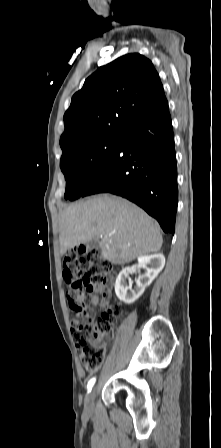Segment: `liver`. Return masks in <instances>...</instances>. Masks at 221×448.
<instances>
[{
    "mask_svg": "<svg viewBox=\"0 0 221 448\" xmlns=\"http://www.w3.org/2000/svg\"><path fill=\"white\" fill-rule=\"evenodd\" d=\"M60 254L96 241L102 256L122 265L160 251L163 238L158 224L133 203L99 195L64 209L59 221Z\"/></svg>",
    "mask_w": 221,
    "mask_h": 448,
    "instance_id": "liver-1",
    "label": "liver"
}]
</instances>
